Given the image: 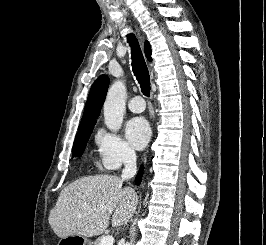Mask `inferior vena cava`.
<instances>
[{"instance_id": "inferior-vena-cava-1", "label": "inferior vena cava", "mask_w": 266, "mask_h": 245, "mask_svg": "<svg viewBox=\"0 0 266 245\" xmlns=\"http://www.w3.org/2000/svg\"><path fill=\"white\" fill-rule=\"evenodd\" d=\"M137 157L134 151H128L125 155V167L122 171V181L125 179H132L137 173Z\"/></svg>"}]
</instances>
